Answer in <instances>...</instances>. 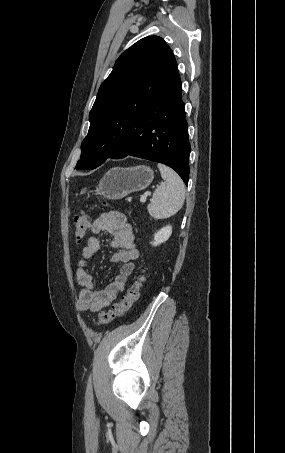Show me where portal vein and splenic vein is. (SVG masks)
I'll use <instances>...</instances> for the list:
<instances>
[{"mask_svg":"<svg viewBox=\"0 0 285 453\" xmlns=\"http://www.w3.org/2000/svg\"><path fill=\"white\" fill-rule=\"evenodd\" d=\"M147 200V193L140 197V202L144 203Z\"/></svg>","mask_w":285,"mask_h":453,"instance_id":"portal-vein-and-splenic-vein-1","label":"portal vein and splenic vein"}]
</instances>
